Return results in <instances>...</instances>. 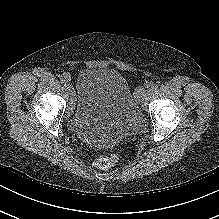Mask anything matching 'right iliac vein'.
Masks as SVG:
<instances>
[{
	"mask_svg": "<svg viewBox=\"0 0 219 219\" xmlns=\"http://www.w3.org/2000/svg\"><path fill=\"white\" fill-rule=\"evenodd\" d=\"M67 89H68L69 93H70L71 95H73L74 90H73V87H72L71 84H69V83L67 84Z\"/></svg>",
	"mask_w": 219,
	"mask_h": 219,
	"instance_id": "right-iliac-vein-1",
	"label": "right iliac vein"
}]
</instances>
